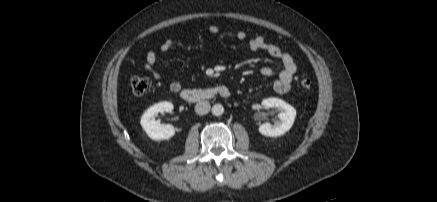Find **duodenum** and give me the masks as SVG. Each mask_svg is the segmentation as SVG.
<instances>
[{"mask_svg": "<svg viewBox=\"0 0 437 202\" xmlns=\"http://www.w3.org/2000/svg\"><path fill=\"white\" fill-rule=\"evenodd\" d=\"M230 95L231 92L229 88L224 85L203 89H183L180 91L181 98L192 103L210 100L216 97L228 98Z\"/></svg>", "mask_w": 437, "mask_h": 202, "instance_id": "duodenum-1", "label": "duodenum"}]
</instances>
